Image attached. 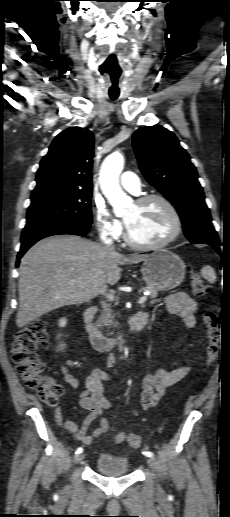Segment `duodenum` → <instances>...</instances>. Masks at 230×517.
Segmentation results:
<instances>
[{
    "instance_id": "obj_1",
    "label": "duodenum",
    "mask_w": 230,
    "mask_h": 517,
    "mask_svg": "<svg viewBox=\"0 0 230 517\" xmlns=\"http://www.w3.org/2000/svg\"><path fill=\"white\" fill-rule=\"evenodd\" d=\"M98 307L93 305L88 307L83 315V324L86 332L89 335L91 343L93 347L100 352H108L116 347H119L123 344V337H108L104 335L102 331H100L94 325V317L97 314ZM148 322V313L147 312H138L134 316L131 317L129 322V330L132 333L140 332Z\"/></svg>"
}]
</instances>
